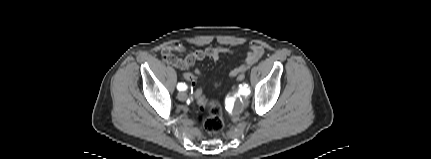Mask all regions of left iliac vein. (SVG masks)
I'll return each mask as SVG.
<instances>
[{
	"label": "left iliac vein",
	"mask_w": 431,
	"mask_h": 159,
	"mask_svg": "<svg viewBox=\"0 0 431 159\" xmlns=\"http://www.w3.org/2000/svg\"><path fill=\"white\" fill-rule=\"evenodd\" d=\"M248 103V99L246 97L243 98V104L246 105Z\"/></svg>",
	"instance_id": "1"
}]
</instances>
